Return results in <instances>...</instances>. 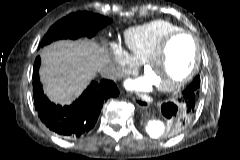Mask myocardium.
Here are the masks:
<instances>
[{
  "label": "myocardium",
  "mask_w": 240,
  "mask_h": 160,
  "mask_svg": "<svg viewBox=\"0 0 240 160\" xmlns=\"http://www.w3.org/2000/svg\"><path fill=\"white\" fill-rule=\"evenodd\" d=\"M178 36H187L191 39L194 45L195 55H194V62L191 66L190 70L187 72L186 75H184L182 78L177 79L171 83L164 84V85H158L157 88L159 91L162 92H170L174 91L182 86H184L186 83H188L197 73L200 63H201V46L197 39V37L186 30H178L175 32H172L168 34L166 37L163 38V40L159 43V45L156 47V49L153 51V53L144 61L143 63V70L144 73L152 67L155 63H157L162 56L164 55L166 48L168 44L176 37Z\"/></svg>",
  "instance_id": "1"
}]
</instances>
